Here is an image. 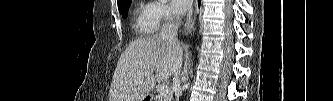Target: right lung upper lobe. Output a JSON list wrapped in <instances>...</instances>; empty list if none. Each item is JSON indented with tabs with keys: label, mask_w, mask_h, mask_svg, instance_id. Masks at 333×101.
Segmentation results:
<instances>
[{
	"label": "right lung upper lobe",
	"mask_w": 333,
	"mask_h": 101,
	"mask_svg": "<svg viewBox=\"0 0 333 101\" xmlns=\"http://www.w3.org/2000/svg\"><path fill=\"white\" fill-rule=\"evenodd\" d=\"M125 0H117L118 4L122 3Z\"/></svg>",
	"instance_id": "1"
}]
</instances>
